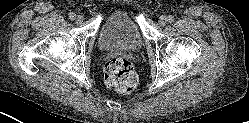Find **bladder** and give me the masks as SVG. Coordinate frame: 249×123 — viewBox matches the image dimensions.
Instances as JSON below:
<instances>
[{"mask_svg": "<svg viewBox=\"0 0 249 123\" xmlns=\"http://www.w3.org/2000/svg\"><path fill=\"white\" fill-rule=\"evenodd\" d=\"M97 45L102 50L125 51H136L144 45L141 26L129 9H117L104 20Z\"/></svg>", "mask_w": 249, "mask_h": 123, "instance_id": "1", "label": "bladder"}]
</instances>
